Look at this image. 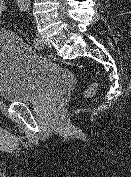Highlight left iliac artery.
Returning a JSON list of instances; mask_svg holds the SVG:
<instances>
[{"mask_svg":"<svg viewBox=\"0 0 131 177\" xmlns=\"http://www.w3.org/2000/svg\"><path fill=\"white\" fill-rule=\"evenodd\" d=\"M26 10H27V9L25 8L24 11H26ZM33 44H34V46H35L36 48L39 46V41H38L37 38H34V39H33Z\"/></svg>","mask_w":131,"mask_h":177,"instance_id":"44dca946","label":"left iliac artery"}]
</instances>
